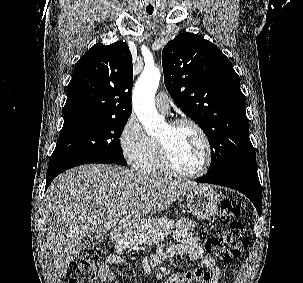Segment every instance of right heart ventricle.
<instances>
[{
    "mask_svg": "<svg viewBox=\"0 0 303 283\" xmlns=\"http://www.w3.org/2000/svg\"><path fill=\"white\" fill-rule=\"evenodd\" d=\"M138 168L142 173L150 176H160L166 173L160 162L157 142L154 139L148 155L138 165Z\"/></svg>",
    "mask_w": 303,
    "mask_h": 283,
    "instance_id": "e07e8e85",
    "label": "right heart ventricle"
}]
</instances>
